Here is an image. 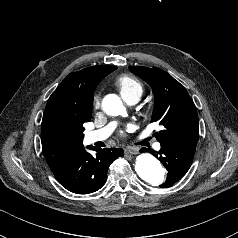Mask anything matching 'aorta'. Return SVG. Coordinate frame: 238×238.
<instances>
[{
	"instance_id": "aorta-1",
	"label": "aorta",
	"mask_w": 238,
	"mask_h": 238,
	"mask_svg": "<svg viewBox=\"0 0 238 238\" xmlns=\"http://www.w3.org/2000/svg\"><path fill=\"white\" fill-rule=\"evenodd\" d=\"M106 114L117 116L125 111L121 99L114 94L107 95L102 102ZM135 170L139 177L151 186L157 187L165 180V169L160 162L150 153H142L137 156Z\"/></svg>"
}]
</instances>
